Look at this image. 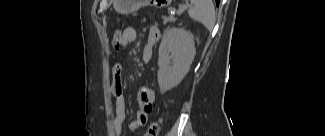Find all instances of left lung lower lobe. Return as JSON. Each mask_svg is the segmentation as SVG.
<instances>
[{
  "label": "left lung lower lobe",
  "instance_id": "obj_1",
  "mask_svg": "<svg viewBox=\"0 0 325 136\" xmlns=\"http://www.w3.org/2000/svg\"><path fill=\"white\" fill-rule=\"evenodd\" d=\"M215 2H216V5L218 6L219 5V0H215Z\"/></svg>",
  "mask_w": 325,
  "mask_h": 136
}]
</instances>
